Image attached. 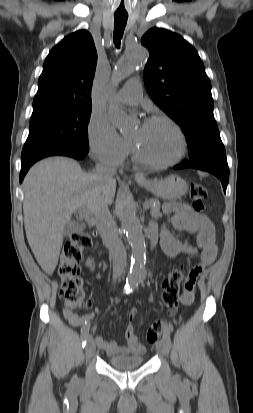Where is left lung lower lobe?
Listing matches in <instances>:
<instances>
[{
  "label": "left lung lower lobe",
  "instance_id": "left-lung-lower-lobe-1",
  "mask_svg": "<svg viewBox=\"0 0 253 413\" xmlns=\"http://www.w3.org/2000/svg\"><path fill=\"white\" fill-rule=\"evenodd\" d=\"M184 168H195L214 174L221 180L223 189L226 192L227 184L229 181V168L226 156L211 158L203 162H191L189 160H184L174 167V169Z\"/></svg>",
  "mask_w": 253,
  "mask_h": 413
}]
</instances>
